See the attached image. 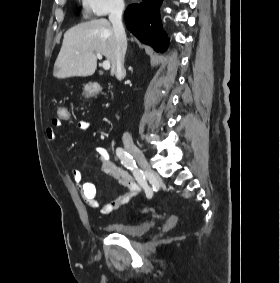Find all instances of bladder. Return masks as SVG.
<instances>
[{"label": "bladder", "mask_w": 280, "mask_h": 283, "mask_svg": "<svg viewBox=\"0 0 280 283\" xmlns=\"http://www.w3.org/2000/svg\"><path fill=\"white\" fill-rule=\"evenodd\" d=\"M155 223L152 221L131 224L126 222H113L106 226V229L118 234L127 237H139L146 233H148L153 227Z\"/></svg>", "instance_id": "obj_1"}]
</instances>
